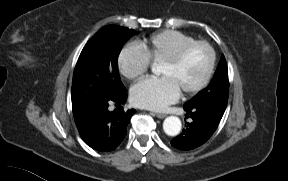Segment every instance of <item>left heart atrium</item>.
Returning <instances> with one entry per match:
<instances>
[{"mask_svg":"<svg viewBox=\"0 0 288 181\" xmlns=\"http://www.w3.org/2000/svg\"><path fill=\"white\" fill-rule=\"evenodd\" d=\"M180 91L167 77L145 78L131 88V98L135 105L162 110L179 97Z\"/></svg>","mask_w":288,"mask_h":181,"instance_id":"39dd6f15","label":"left heart atrium"}]
</instances>
